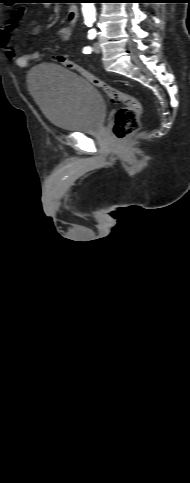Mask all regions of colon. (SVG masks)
<instances>
[{"label": "colon", "instance_id": "colon-1", "mask_svg": "<svg viewBox=\"0 0 190 483\" xmlns=\"http://www.w3.org/2000/svg\"><path fill=\"white\" fill-rule=\"evenodd\" d=\"M55 61L83 76L97 89L106 94L112 103L124 104V107L118 110L112 128L113 134L117 139H123L139 129V120L143 107L138 98L115 89L110 84L70 60L65 54H56Z\"/></svg>", "mask_w": 190, "mask_h": 483}]
</instances>
